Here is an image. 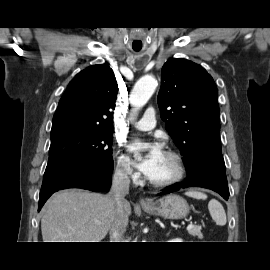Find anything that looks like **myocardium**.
<instances>
[{"mask_svg":"<svg viewBox=\"0 0 270 270\" xmlns=\"http://www.w3.org/2000/svg\"><path fill=\"white\" fill-rule=\"evenodd\" d=\"M165 154L174 160L175 173L172 177L163 181H154L148 178L150 185H152L155 188H166V187L173 186L179 183L184 178V175H185L186 169H185V163H184V159L182 155L179 152L174 151V150H168L165 152Z\"/></svg>","mask_w":270,"mask_h":270,"instance_id":"myocardium-1","label":"myocardium"}]
</instances>
